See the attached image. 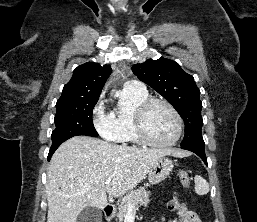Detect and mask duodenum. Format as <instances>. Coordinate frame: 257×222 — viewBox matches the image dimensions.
Returning <instances> with one entry per match:
<instances>
[{"instance_id": "1", "label": "duodenum", "mask_w": 257, "mask_h": 222, "mask_svg": "<svg viewBox=\"0 0 257 222\" xmlns=\"http://www.w3.org/2000/svg\"><path fill=\"white\" fill-rule=\"evenodd\" d=\"M103 214L107 219H110L114 215V206L111 204H107L103 207Z\"/></svg>"}]
</instances>
